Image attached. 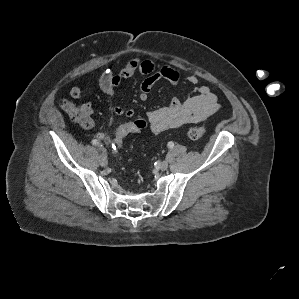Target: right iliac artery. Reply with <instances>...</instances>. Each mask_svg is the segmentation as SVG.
<instances>
[{
  "label": "right iliac artery",
  "instance_id": "82829eb1",
  "mask_svg": "<svg viewBox=\"0 0 299 299\" xmlns=\"http://www.w3.org/2000/svg\"><path fill=\"white\" fill-rule=\"evenodd\" d=\"M92 144L95 145V146H97V145H99V142H98V140L93 139V140H92Z\"/></svg>",
  "mask_w": 299,
  "mask_h": 299
}]
</instances>
